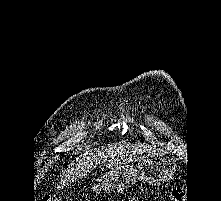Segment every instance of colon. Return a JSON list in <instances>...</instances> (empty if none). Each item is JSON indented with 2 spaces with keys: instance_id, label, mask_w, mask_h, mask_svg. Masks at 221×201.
<instances>
[{
  "instance_id": "colon-1",
  "label": "colon",
  "mask_w": 221,
  "mask_h": 201,
  "mask_svg": "<svg viewBox=\"0 0 221 201\" xmlns=\"http://www.w3.org/2000/svg\"><path fill=\"white\" fill-rule=\"evenodd\" d=\"M187 193L184 187H176L172 190L170 201H187ZM41 201H63L60 197L49 196Z\"/></svg>"
}]
</instances>
